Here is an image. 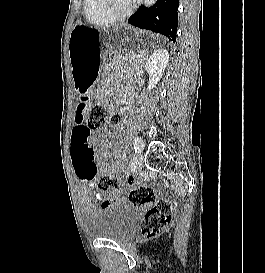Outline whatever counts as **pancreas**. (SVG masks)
Listing matches in <instances>:
<instances>
[{"label": "pancreas", "mask_w": 265, "mask_h": 273, "mask_svg": "<svg viewBox=\"0 0 265 273\" xmlns=\"http://www.w3.org/2000/svg\"><path fill=\"white\" fill-rule=\"evenodd\" d=\"M123 59L126 60L132 67H136L139 64V60L136 59V55L134 54L126 55ZM115 60H119V58L115 57Z\"/></svg>", "instance_id": "cf45deb5"}]
</instances>
